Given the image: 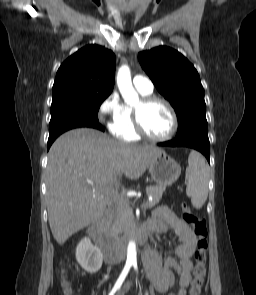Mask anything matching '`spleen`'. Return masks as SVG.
<instances>
[{
	"mask_svg": "<svg viewBox=\"0 0 256 295\" xmlns=\"http://www.w3.org/2000/svg\"><path fill=\"white\" fill-rule=\"evenodd\" d=\"M186 179L188 181L186 194L191 198L193 207L200 209L208 196L209 166L197 151L189 154Z\"/></svg>",
	"mask_w": 256,
	"mask_h": 295,
	"instance_id": "obj_1",
	"label": "spleen"
}]
</instances>
